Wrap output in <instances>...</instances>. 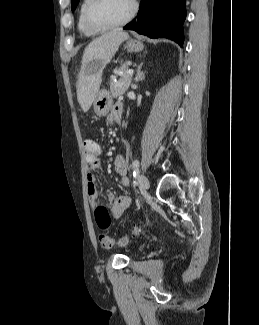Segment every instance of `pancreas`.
I'll return each instance as SVG.
<instances>
[{
  "label": "pancreas",
  "mask_w": 259,
  "mask_h": 325,
  "mask_svg": "<svg viewBox=\"0 0 259 325\" xmlns=\"http://www.w3.org/2000/svg\"><path fill=\"white\" fill-rule=\"evenodd\" d=\"M128 64H124L119 68V71L122 72L119 80H117V74L111 76L110 78V92L113 97H118L123 95L131 84L132 75L127 74Z\"/></svg>",
  "instance_id": "cf45deb5"
}]
</instances>
